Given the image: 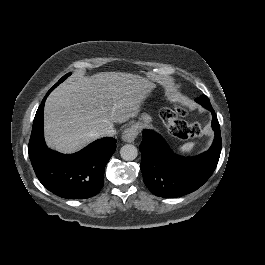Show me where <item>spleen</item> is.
<instances>
[{"label": "spleen", "mask_w": 265, "mask_h": 265, "mask_svg": "<svg viewBox=\"0 0 265 265\" xmlns=\"http://www.w3.org/2000/svg\"><path fill=\"white\" fill-rule=\"evenodd\" d=\"M199 145L197 141L186 142L175 148V153L182 156H190Z\"/></svg>", "instance_id": "spleen-1"}]
</instances>
